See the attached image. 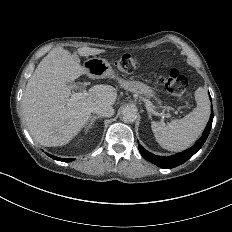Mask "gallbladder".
<instances>
[{
	"mask_svg": "<svg viewBox=\"0 0 232 232\" xmlns=\"http://www.w3.org/2000/svg\"><path fill=\"white\" fill-rule=\"evenodd\" d=\"M68 86L73 87L74 85V89L75 90H79V91H84L85 90V84L84 83H75L73 84L72 82L67 83Z\"/></svg>",
	"mask_w": 232,
	"mask_h": 232,
	"instance_id": "obj_1",
	"label": "gallbladder"
}]
</instances>
